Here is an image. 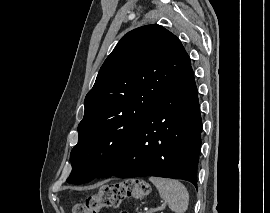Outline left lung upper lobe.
<instances>
[{"mask_svg":"<svg viewBox=\"0 0 270 213\" xmlns=\"http://www.w3.org/2000/svg\"><path fill=\"white\" fill-rule=\"evenodd\" d=\"M191 66L180 40L160 25L128 32L103 63L85 97L67 181H91L109 166L176 77Z\"/></svg>","mask_w":270,"mask_h":213,"instance_id":"5c2ea615","label":"left lung upper lobe"}]
</instances>
